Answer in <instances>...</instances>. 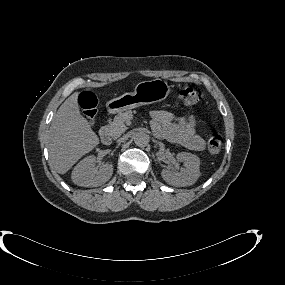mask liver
<instances>
[{
  "label": "liver",
  "instance_id": "6515ba94",
  "mask_svg": "<svg viewBox=\"0 0 285 285\" xmlns=\"http://www.w3.org/2000/svg\"><path fill=\"white\" fill-rule=\"evenodd\" d=\"M79 92L59 107L48 132L50 162L59 174H65L85 154L99 144V138L79 111Z\"/></svg>",
  "mask_w": 285,
  "mask_h": 285
}]
</instances>
